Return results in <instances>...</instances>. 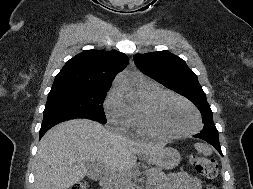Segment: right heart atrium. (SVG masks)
I'll list each match as a JSON object with an SVG mask.
<instances>
[{
  "label": "right heart atrium",
  "mask_w": 253,
  "mask_h": 189,
  "mask_svg": "<svg viewBox=\"0 0 253 189\" xmlns=\"http://www.w3.org/2000/svg\"><path fill=\"white\" fill-rule=\"evenodd\" d=\"M105 115L110 124L125 130L131 126L130 106L126 103L122 92L113 87L104 100Z\"/></svg>",
  "instance_id": "1"
}]
</instances>
